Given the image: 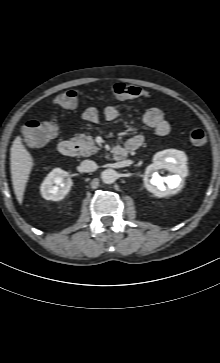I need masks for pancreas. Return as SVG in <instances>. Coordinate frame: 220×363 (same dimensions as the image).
Wrapping results in <instances>:
<instances>
[{
	"mask_svg": "<svg viewBox=\"0 0 220 363\" xmlns=\"http://www.w3.org/2000/svg\"><path fill=\"white\" fill-rule=\"evenodd\" d=\"M74 141L78 144L80 154L84 157H89L99 150V148L95 146L94 140L91 136L79 134L74 138Z\"/></svg>",
	"mask_w": 220,
	"mask_h": 363,
	"instance_id": "cf45deb5",
	"label": "pancreas"
}]
</instances>
